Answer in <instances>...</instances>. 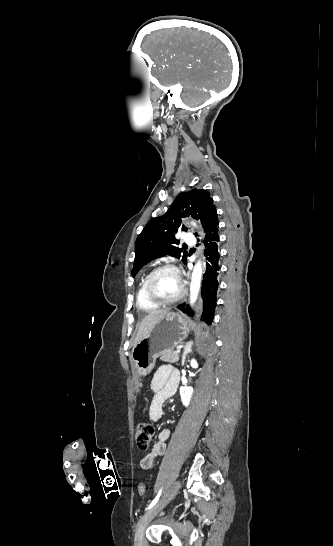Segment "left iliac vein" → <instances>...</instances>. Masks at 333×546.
<instances>
[{"instance_id": "4c4485c4", "label": "left iliac vein", "mask_w": 333, "mask_h": 546, "mask_svg": "<svg viewBox=\"0 0 333 546\" xmlns=\"http://www.w3.org/2000/svg\"><path fill=\"white\" fill-rule=\"evenodd\" d=\"M180 487H181V482L180 481L176 482L167 491L165 496L141 517L136 527L134 546H143V536H144L145 528L147 527L149 522L154 518V516L160 510H162L169 503V501L177 494Z\"/></svg>"}]
</instances>
